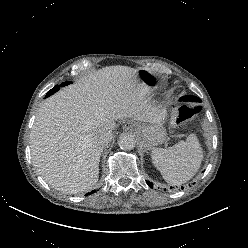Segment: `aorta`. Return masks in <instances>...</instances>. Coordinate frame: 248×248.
Listing matches in <instances>:
<instances>
[{"mask_svg": "<svg viewBox=\"0 0 248 248\" xmlns=\"http://www.w3.org/2000/svg\"><path fill=\"white\" fill-rule=\"evenodd\" d=\"M135 144L136 140L131 134H121L118 139V145L123 150H132Z\"/></svg>", "mask_w": 248, "mask_h": 248, "instance_id": "762f6f07", "label": "aorta"}]
</instances>
